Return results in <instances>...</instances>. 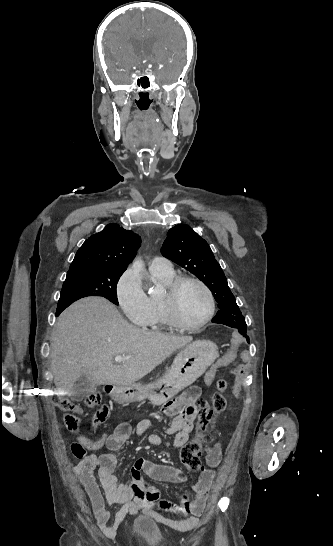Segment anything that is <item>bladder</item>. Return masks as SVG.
<instances>
[{"mask_svg":"<svg viewBox=\"0 0 333 546\" xmlns=\"http://www.w3.org/2000/svg\"><path fill=\"white\" fill-rule=\"evenodd\" d=\"M132 539L135 542H143L153 546L163 543V533L157 521L151 517L137 518L131 529Z\"/></svg>","mask_w":333,"mask_h":546,"instance_id":"bladder-1","label":"bladder"}]
</instances>
